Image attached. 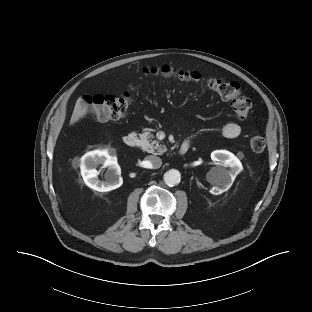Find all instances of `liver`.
<instances>
[{"label":"liver","instance_id":"obj_1","mask_svg":"<svg viewBox=\"0 0 312 312\" xmlns=\"http://www.w3.org/2000/svg\"><path fill=\"white\" fill-rule=\"evenodd\" d=\"M87 113V105L82 104V99H78L76 102L72 117L70 119V125L78 122L81 118H83Z\"/></svg>","mask_w":312,"mask_h":312}]
</instances>
